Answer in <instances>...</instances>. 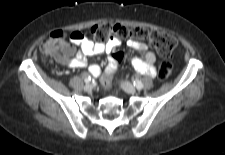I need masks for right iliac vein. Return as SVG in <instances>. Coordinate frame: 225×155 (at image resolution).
<instances>
[{
    "instance_id": "right-iliac-vein-1",
    "label": "right iliac vein",
    "mask_w": 225,
    "mask_h": 155,
    "mask_svg": "<svg viewBox=\"0 0 225 155\" xmlns=\"http://www.w3.org/2000/svg\"><path fill=\"white\" fill-rule=\"evenodd\" d=\"M92 88H93V86L91 84H89V83L84 86V90L86 92H91Z\"/></svg>"
}]
</instances>
